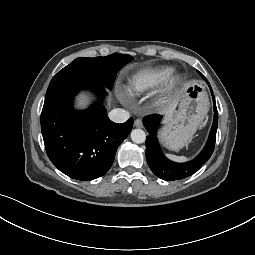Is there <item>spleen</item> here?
I'll return each mask as SVG.
<instances>
[{
  "instance_id": "1",
  "label": "spleen",
  "mask_w": 255,
  "mask_h": 255,
  "mask_svg": "<svg viewBox=\"0 0 255 255\" xmlns=\"http://www.w3.org/2000/svg\"><path fill=\"white\" fill-rule=\"evenodd\" d=\"M168 158H170L171 160L177 161V162H184L187 160V157L185 156H176V155H172V154H167Z\"/></svg>"
}]
</instances>
